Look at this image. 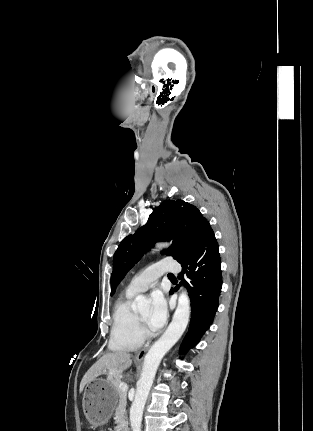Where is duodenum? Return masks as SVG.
<instances>
[{
  "mask_svg": "<svg viewBox=\"0 0 313 431\" xmlns=\"http://www.w3.org/2000/svg\"><path fill=\"white\" fill-rule=\"evenodd\" d=\"M117 431H129L126 423L122 422L118 425Z\"/></svg>",
  "mask_w": 313,
  "mask_h": 431,
  "instance_id": "1",
  "label": "duodenum"
}]
</instances>
